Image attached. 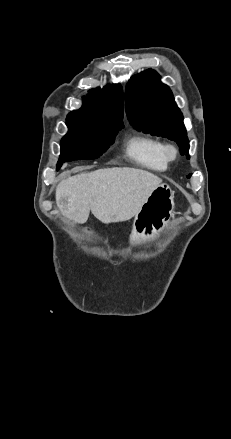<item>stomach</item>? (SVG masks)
<instances>
[{
    "mask_svg": "<svg viewBox=\"0 0 231 439\" xmlns=\"http://www.w3.org/2000/svg\"><path fill=\"white\" fill-rule=\"evenodd\" d=\"M174 191L161 183L148 197L133 222L131 240L142 242L155 239L173 216Z\"/></svg>",
    "mask_w": 231,
    "mask_h": 439,
    "instance_id": "1",
    "label": "stomach"
}]
</instances>
